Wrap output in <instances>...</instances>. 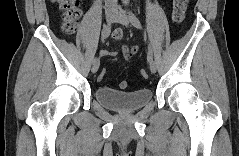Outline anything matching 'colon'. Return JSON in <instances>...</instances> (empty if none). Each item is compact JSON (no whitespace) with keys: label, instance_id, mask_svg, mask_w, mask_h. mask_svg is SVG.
I'll list each match as a JSON object with an SVG mask.
<instances>
[{"label":"colon","instance_id":"obj_1","mask_svg":"<svg viewBox=\"0 0 239 156\" xmlns=\"http://www.w3.org/2000/svg\"><path fill=\"white\" fill-rule=\"evenodd\" d=\"M58 6L63 17L62 29L65 33L72 34L77 28L81 15L79 3L75 0H61ZM187 6L188 0H174L172 16L176 23H181L184 20ZM106 74V70L102 69L98 75V80L103 81L106 78ZM140 74L143 79H147L148 74L145 70H141ZM127 87L128 83L126 81L120 83L121 89H126Z\"/></svg>","mask_w":239,"mask_h":156}]
</instances>
